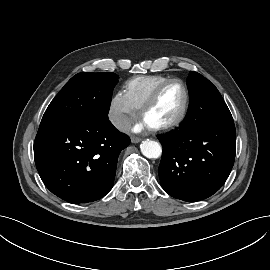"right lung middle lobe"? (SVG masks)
Listing matches in <instances>:
<instances>
[{
  "label": "right lung middle lobe",
  "instance_id": "1",
  "mask_svg": "<svg viewBox=\"0 0 270 270\" xmlns=\"http://www.w3.org/2000/svg\"><path fill=\"white\" fill-rule=\"evenodd\" d=\"M118 82L114 73H79L52 100L41 122L80 121L107 115L112 91Z\"/></svg>",
  "mask_w": 270,
  "mask_h": 270
}]
</instances>
